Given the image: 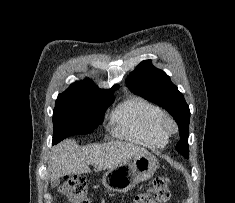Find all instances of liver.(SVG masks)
<instances>
[{
  "label": "liver",
  "mask_w": 235,
  "mask_h": 203,
  "mask_svg": "<svg viewBox=\"0 0 235 203\" xmlns=\"http://www.w3.org/2000/svg\"><path fill=\"white\" fill-rule=\"evenodd\" d=\"M143 153L147 150L123 141L81 147L74 140H65L53 148L48 171L54 181L65 175L89 173V165L98 171L112 169Z\"/></svg>",
  "instance_id": "obj_1"
}]
</instances>
